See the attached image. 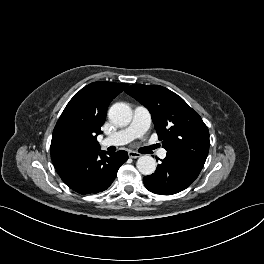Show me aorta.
<instances>
[{
  "instance_id": "1",
  "label": "aorta",
  "mask_w": 264,
  "mask_h": 264,
  "mask_svg": "<svg viewBox=\"0 0 264 264\" xmlns=\"http://www.w3.org/2000/svg\"><path fill=\"white\" fill-rule=\"evenodd\" d=\"M132 110L125 103H115L108 111L109 120L117 126H127L132 120ZM138 171L143 175H151L156 170V161L149 155L141 156L136 163Z\"/></svg>"
}]
</instances>
